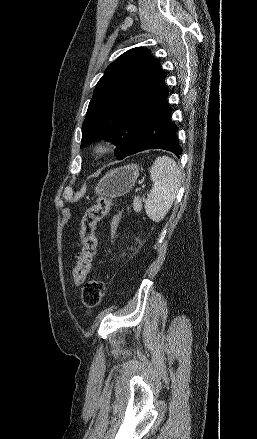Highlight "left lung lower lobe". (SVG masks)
Wrapping results in <instances>:
<instances>
[{
  "mask_svg": "<svg viewBox=\"0 0 257 439\" xmlns=\"http://www.w3.org/2000/svg\"><path fill=\"white\" fill-rule=\"evenodd\" d=\"M167 91L144 119L134 147L127 156L148 149H163L182 154V148L176 135L177 127L171 122V107L168 105Z\"/></svg>",
  "mask_w": 257,
  "mask_h": 439,
  "instance_id": "1",
  "label": "left lung lower lobe"
}]
</instances>
